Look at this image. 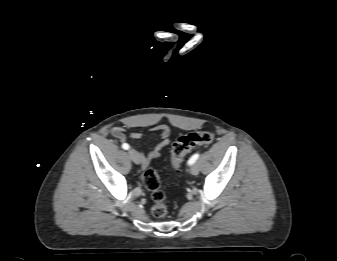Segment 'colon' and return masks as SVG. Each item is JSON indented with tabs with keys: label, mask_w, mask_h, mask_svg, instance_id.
<instances>
[{
	"label": "colon",
	"mask_w": 337,
	"mask_h": 261,
	"mask_svg": "<svg viewBox=\"0 0 337 261\" xmlns=\"http://www.w3.org/2000/svg\"><path fill=\"white\" fill-rule=\"evenodd\" d=\"M214 139L211 132H191L180 136L173 144L171 149V165L175 171L179 170L184 157L196 146L210 144ZM143 183L151 192L153 201L152 213L156 218H163L168 213L165 204L164 192L160 189V178L157 171L148 169L143 174Z\"/></svg>",
	"instance_id": "5ec220e1"
}]
</instances>
